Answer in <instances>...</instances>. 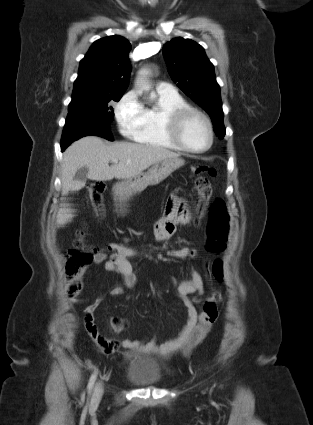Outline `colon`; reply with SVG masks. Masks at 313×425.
<instances>
[{
	"instance_id": "colon-1",
	"label": "colon",
	"mask_w": 313,
	"mask_h": 425,
	"mask_svg": "<svg viewBox=\"0 0 313 425\" xmlns=\"http://www.w3.org/2000/svg\"><path fill=\"white\" fill-rule=\"evenodd\" d=\"M191 173L194 177L195 189L198 194V210L202 212L212 195L211 183L205 175L214 177L216 171L211 166L198 164L191 168ZM86 189L91 203L100 209L102 195L105 190L104 184L93 182ZM229 228L230 219L226 204L220 198L215 199L209 209L207 252L219 254L226 249ZM83 234L82 230L77 232L74 248L68 250L65 254V269L68 280L67 291L71 297L79 295L82 291L84 276L94 261V254L91 250L84 248L82 242ZM197 254L196 251H192L191 253L192 256H197ZM206 275L209 280L221 281L224 276L223 261L220 259L213 261L211 268L206 269ZM209 297L213 302L218 304L221 300V293L217 290H211Z\"/></svg>"
}]
</instances>
